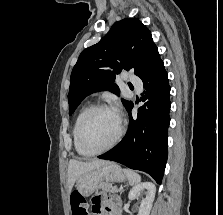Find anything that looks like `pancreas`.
Listing matches in <instances>:
<instances>
[{"instance_id": "1", "label": "pancreas", "mask_w": 223, "mask_h": 215, "mask_svg": "<svg viewBox=\"0 0 223 215\" xmlns=\"http://www.w3.org/2000/svg\"><path fill=\"white\" fill-rule=\"evenodd\" d=\"M101 189H102V191H120V189H118L117 185H112V183L101 184Z\"/></svg>"}]
</instances>
